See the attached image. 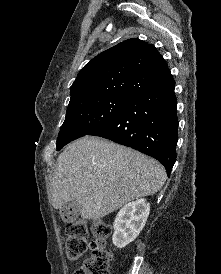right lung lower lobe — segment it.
I'll return each mask as SVG.
<instances>
[{"label":"right lung lower lobe","instance_id":"1","mask_svg":"<svg viewBox=\"0 0 221 274\" xmlns=\"http://www.w3.org/2000/svg\"><path fill=\"white\" fill-rule=\"evenodd\" d=\"M175 81L171 74L134 97L112 119L89 135L103 137L147 154L170 175L178 139Z\"/></svg>","mask_w":221,"mask_h":274}]
</instances>
